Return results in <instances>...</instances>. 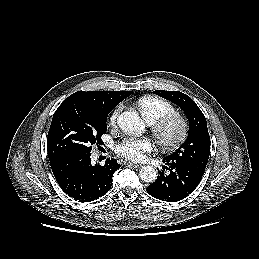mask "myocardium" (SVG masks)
Wrapping results in <instances>:
<instances>
[{"instance_id": "1", "label": "myocardium", "mask_w": 259, "mask_h": 259, "mask_svg": "<svg viewBox=\"0 0 259 259\" xmlns=\"http://www.w3.org/2000/svg\"><path fill=\"white\" fill-rule=\"evenodd\" d=\"M151 125L154 139L166 151L179 148L186 141L189 134L188 120L177 112L165 114ZM171 125L177 126V133L174 137L169 138L167 130Z\"/></svg>"}]
</instances>
